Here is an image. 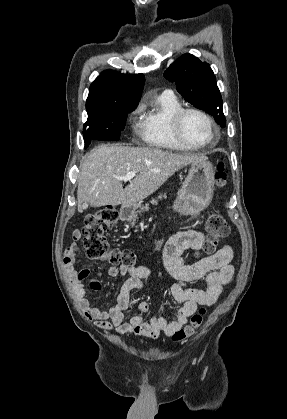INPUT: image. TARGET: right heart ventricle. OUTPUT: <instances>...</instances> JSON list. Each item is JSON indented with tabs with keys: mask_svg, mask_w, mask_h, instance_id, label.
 Returning <instances> with one entry per match:
<instances>
[{
	"mask_svg": "<svg viewBox=\"0 0 287 419\" xmlns=\"http://www.w3.org/2000/svg\"><path fill=\"white\" fill-rule=\"evenodd\" d=\"M182 108V104L174 94L158 95L149 109L142 108L139 135L142 141L150 146L168 150H190L175 137L172 126V115Z\"/></svg>",
	"mask_w": 287,
	"mask_h": 419,
	"instance_id": "e07e8e85",
	"label": "right heart ventricle"
}]
</instances>
